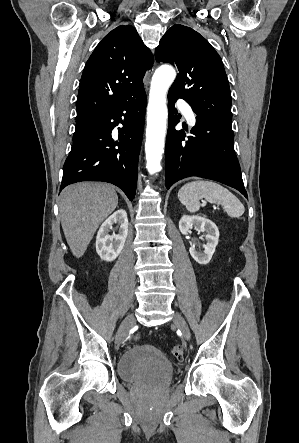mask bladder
Listing matches in <instances>:
<instances>
[{
  "label": "bladder",
  "mask_w": 299,
  "mask_h": 443,
  "mask_svg": "<svg viewBox=\"0 0 299 443\" xmlns=\"http://www.w3.org/2000/svg\"><path fill=\"white\" fill-rule=\"evenodd\" d=\"M117 371L123 380L130 383L159 384L167 382L173 377L174 367L156 347L139 344L127 350L120 357Z\"/></svg>",
  "instance_id": "bladder-1"
}]
</instances>
